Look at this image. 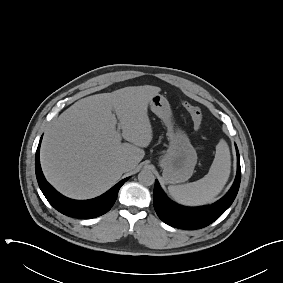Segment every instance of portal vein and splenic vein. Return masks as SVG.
Returning <instances> with one entry per match:
<instances>
[{
    "label": "portal vein and splenic vein",
    "mask_w": 283,
    "mask_h": 283,
    "mask_svg": "<svg viewBox=\"0 0 283 283\" xmlns=\"http://www.w3.org/2000/svg\"><path fill=\"white\" fill-rule=\"evenodd\" d=\"M117 135L120 136V128L117 130Z\"/></svg>",
    "instance_id": "portal-vein-and-splenic-vein-1"
}]
</instances>
